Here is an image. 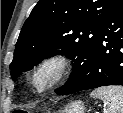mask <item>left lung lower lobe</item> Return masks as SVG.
Wrapping results in <instances>:
<instances>
[{
  "label": "left lung lower lobe",
  "mask_w": 123,
  "mask_h": 113,
  "mask_svg": "<svg viewBox=\"0 0 123 113\" xmlns=\"http://www.w3.org/2000/svg\"><path fill=\"white\" fill-rule=\"evenodd\" d=\"M107 85H123V0H114L101 22L84 80L59 95Z\"/></svg>",
  "instance_id": "left-lung-lower-lobe-1"
}]
</instances>
